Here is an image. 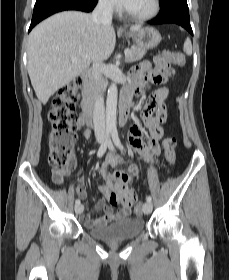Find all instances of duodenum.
<instances>
[{"mask_svg":"<svg viewBox=\"0 0 229 280\" xmlns=\"http://www.w3.org/2000/svg\"><path fill=\"white\" fill-rule=\"evenodd\" d=\"M84 87L82 90L81 108L84 112L85 121L92 123L93 114L96 108L94 95L93 74L90 71L82 74ZM131 104V94L123 91L120 98V124L125 125L128 119Z\"/></svg>","mask_w":229,"mask_h":280,"instance_id":"1","label":"duodenum"}]
</instances>
